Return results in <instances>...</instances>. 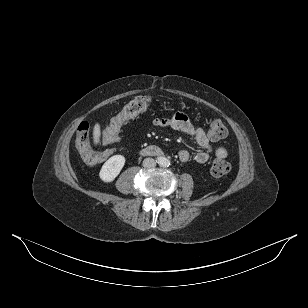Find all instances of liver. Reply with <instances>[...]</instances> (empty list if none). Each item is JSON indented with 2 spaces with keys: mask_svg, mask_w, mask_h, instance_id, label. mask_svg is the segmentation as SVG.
Here are the masks:
<instances>
[{
  "mask_svg": "<svg viewBox=\"0 0 308 308\" xmlns=\"http://www.w3.org/2000/svg\"><path fill=\"white\" fill-rule=\"evenodd\" d=\"M101 130L100 125L98 123L95 124L93 128V141L94 144H98L100 142Z\"/></svg>",
  "mask_w": 308,
  "mask_h": 308,
  "instance_id": "1",
  "label": "liver"
}]
</instances>
